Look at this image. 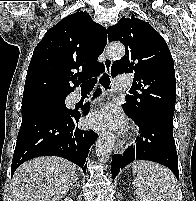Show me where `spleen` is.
<instances>
[{
  "mask_svg": "<svg viewBox=\"0 0 196 201\" xmlns=\"http://www.w3.org/2000/svg\"><path fill=\"white\" fill-rule=\"evenodd\" d=\"M132 169L137 173L133 184L140 201L176 200V179L169 169L148 161L134 162Z\"/></svg>",
  "mask_w": 196,
  "mask_h": 201,
  "instance_id": "3e777b00",
  "label": "spleen"
}]
</instances>
